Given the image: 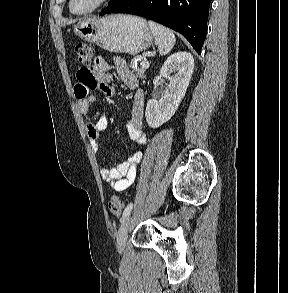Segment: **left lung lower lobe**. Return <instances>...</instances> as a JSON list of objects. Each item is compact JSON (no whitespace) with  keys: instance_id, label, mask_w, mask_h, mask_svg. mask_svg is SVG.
I'll list each match as a JSON object with an SVG mask.
<instances>
[{"instance_id":"left-lung-lower-lobe-1","label":"left lung lower lobe","mask_w":288,"mask_h":293,"mask_svg":"<svg viewBox=\"0 0 288 293\" xmlns=\"http://www.w3.org/2000/svg\"><path fill=\"white\" fill-rule=\"evenodd\" d=\"M211 0H114L100 12L142 16L181 33L198 54L206 38Z\"/></svg>"}]
</instances>
